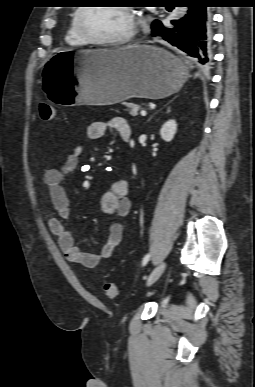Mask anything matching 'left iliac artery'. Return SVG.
<instances>
[{"instance_id": "44dca946", "label": "left iliac artery", "mask_w": 255, "mask_h": 387, "mask_svg": "<svg viewBox=\"0 0 255 387\" xmlns=\"http://www.w3.org/2000/svg\"><path fill=\"white\" fill-rule=\"evenodd\" d=\"M149 259H150V255L149 254L145 255L142 260V265L145 266L148 263Z\"/></svg>"}]
</instances>
